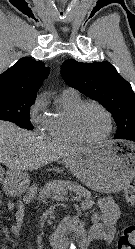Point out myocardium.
<instances>
[{"mask_svg":"<svg viewBox=\"0 0 135 249\" xmlns=\"http://www.w3.org/2000/svg\"><path fill=\"white\" fill-rule=\"evenodd\" d=\"M90 106L100 109L106 116L107 122H108V128H107L106 133L102 137L97 138V139L87 138L81 132L79 128V124H78L82 111L85 108L90 107ZM70 127H71L73 135L79 142H81L82 144L95 145V144H99L105 141L111 135L112 129H113V117H112L111 112L104 105L98 102H95V101H85V102H82L80 105H78L76 109L73 111L71 118H70Z\"/></svg>","mask_w":135,"mask_h":249,"instance_id":"obj_1","label":"myocardium"}]
</instances>
